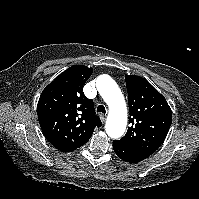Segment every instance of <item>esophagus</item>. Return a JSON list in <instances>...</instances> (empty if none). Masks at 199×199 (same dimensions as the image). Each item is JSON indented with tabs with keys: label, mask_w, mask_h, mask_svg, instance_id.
Returning a JSON list of instances; mask_svg holds the SVG:
<instances>
[{
	"label": "esophagus",
	"mask_w": 199,
	"mask_h": 199,
	"mask_svg": "<svg viewBox=\"0 0 199 199\" xmlns=\"http://www.w3.org/2000/svg\"><path fill=\"white\" fill-rule=\"evenodd\" d=\"M100 119H101L102 123H104L106 121V116L101 114L100 115Z\"/></svg>",
	"instance_id": "1"
}]
</instances>
